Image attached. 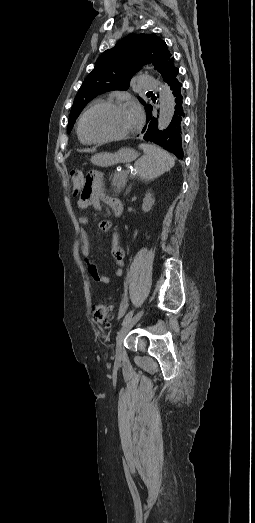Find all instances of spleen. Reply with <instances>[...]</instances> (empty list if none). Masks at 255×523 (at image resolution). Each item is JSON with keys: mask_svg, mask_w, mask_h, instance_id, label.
Instances as JSON below:
<instances>
[{"mask_svg": "<svg viewBox=\"0 0 255 523\" xmlns=\"http://www.w3.org/2000/svg\"><path fill=\"white\" fill-rule=\"evenodd\" d=\"M139 148L143 150L144 156L139 158L134 166L137 176H140L145 182H151L175 166V158L170 156L166 150H162L158 146H151V144H141Z\"/></svg>", "mask_w": 255, "mask_h": 523, "instance_id": "spleen-1", "label": "spleen"}]
</instances>
